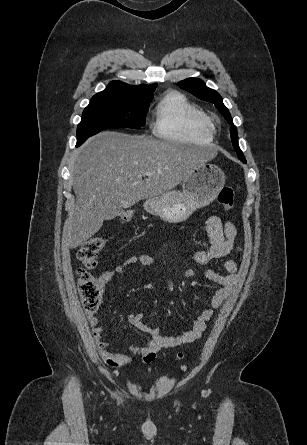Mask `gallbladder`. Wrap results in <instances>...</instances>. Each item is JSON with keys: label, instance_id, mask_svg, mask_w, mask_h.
<instances>
[{"label": "gallbladder", "instance_id": "bac80fb5", "mask_svg": "<svg viewBox=\"0 0 307 445\" xmlns=\"http://www.w3.org/2000/svg\"><path fill=\"white\" fill-rule=\"evenodd\" d=\"M120 210H121L120 204H117L116 202H112L111 204H108L107 210H106L107 215L105 216V221L111 222L112 219L117 216V211H120Z\"/></svg>", "mask_w": 307, "mask_h": 445}]
</instances>
